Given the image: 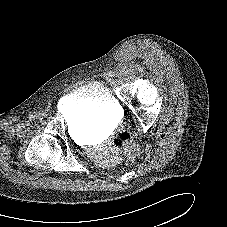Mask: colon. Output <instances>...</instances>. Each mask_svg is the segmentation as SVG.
Masks as SVG:
<instances>
[{"label": "colon", "instance_id": "obj_1", "mask_svg": "<svg viewBox=\"0 0 227 227\" xmlns=\"http://www.w3.org/2000/svg\"><path fill=\"white\" fill-rule=\"evenodd\" d=\"M115 147L125 151L131 160H135L139 155V147L135 144L130 135L126 132L119 133L114 139Z\"/></svg>", "mask_w": 227, "mask_h": 227}]
</instances>
